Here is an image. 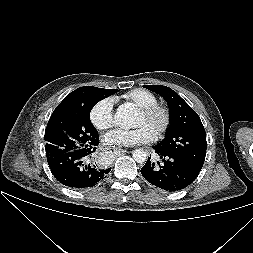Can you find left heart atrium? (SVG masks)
<instances>
[{
    "mask_svg": "<svg viewBox=\"0 0 253 253\" xmlns=\"http://www.w3.org/2000/svg\"><path fill=\"white\" fill-rule=\"evenodd\" d=\"M154 133L145 125H139L134 129H115L104 136V142L108 145L134 146L148 143L154 139Z\"/></svg>",
    "mask_w": 253,
    "mask_h": 253,
    "instance_id": "39dd6f15",
    "label": "left heart atrium"
}]
</instances>
